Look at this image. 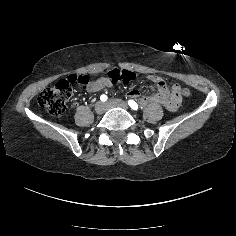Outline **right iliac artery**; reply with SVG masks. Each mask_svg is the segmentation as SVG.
Returning <instances> with one entry per match:
<instances>
[{"instance_id":"82829eb1","label":"right iliac artery","mask_w":236,"mask_h":236,"mask_svg":"<svg viewBox=\"0 0 236 236\" xmlns=\"http://www.w3.org/2000/svg\"><path fill=\"white\" fill-rule=\"evenodd\" d=\"M107 99H108V97H107L106 95H104V94L100 96V100H101L102 102L107 101Z\"/></svg>"}]
</instances>
